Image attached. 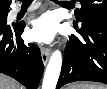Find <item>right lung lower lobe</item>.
Returning a JSON list of instances; mask_svg holds the SVG:
<instances>
[{
  "label": "right lung lower lobe",
  "mask_w": 107,
  "mask_h": 89,
  "mask_svg": "<svg viewBox=\"0 0 107 89\" xmlns=\"http://www.w3.org/2000/svg\"><path fill=\"white\" fill-rule=\"evenodd\" d=\"M23 29L0 23V73L13 77L28 89H37L44 66L38 46L25 44L20 38Z\"/></svg>",
  "instance_id": "obj_1"
}]
</instances>
